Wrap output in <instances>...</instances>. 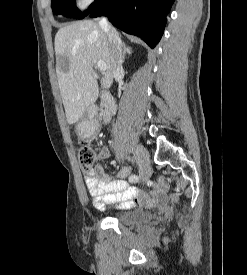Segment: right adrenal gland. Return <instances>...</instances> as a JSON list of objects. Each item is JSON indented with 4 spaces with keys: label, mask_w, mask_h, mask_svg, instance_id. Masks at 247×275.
I'll return each mask as SVG.
<instances>
[{
    "label": "right adrenal gland",
    "mask_w": 247,
    "mask_h": 275,
    "mask_svg": "<svg viewBox=\"0 0 247 275\" xmlns=\"http://www.w3.org/2000/svg\"><path fill=\"white\" fill-rule=\"evenodd\" d=\"M123 56H122V62L124 63L126 54L131 55L132 54V49L131 47L127 46L125 43H123Z\"/></svg>",
    "instance_id": "obj_1"
}]
</instances>
